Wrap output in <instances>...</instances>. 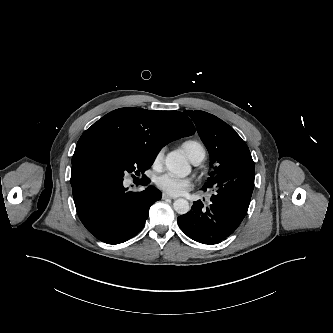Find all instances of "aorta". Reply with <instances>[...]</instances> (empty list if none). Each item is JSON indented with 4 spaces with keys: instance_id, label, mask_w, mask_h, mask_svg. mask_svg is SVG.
<instances>
[{
    "instance_id": "aorta-1",
    "label": "aorta",
    "mask_w": 333,
    "mask_h": 333,
    "mask_svg": "<svg viewBox=\"0 0 333 333\" xmlns=\"http://www.w3.org/2000/svg\"><path fill=\"white\" fill-rule=\"evenodd\" d=\"M167 170L177 177L183 178L190 174L191 166L186 159L178 152H170L165 159ZM174 210L180 214H186L190 207L186 199L179 198L173 203Z\"/></svg>"
}]
</instances>
